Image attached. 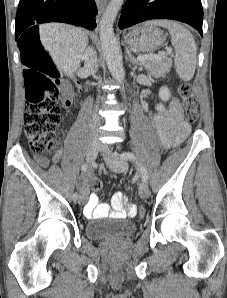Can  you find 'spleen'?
<instances>
[{
	"instance_id": "spleen-1",
	"label": "spleen",
	"mask_w": 227,
	"mask_h": 298,
	"mask_svg": "<svg viewBox=\"0 0 227 298\" xmlns=\"http://www.w3.org/2000/svg\"><path fill=\"white\" fill-rule=\"evenodd\" d=\"M168 29L171 43L175 48V69L183 81H190L195 73L197 48L195 40L188 29L180 23L170 20H155L148 22Z\"/></svg>"
}]
</instances>
